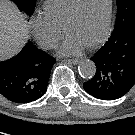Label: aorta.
I'll use <instances>...</instances> for the list:
<instances>
[{
  "instance_id": "762f6f07",
  "label": "aorta",
  "mask_w": 135,
  "mask_h": 135,
  "mask_svg": "<svg viewBox=\"0 0 135 135\" xmlns=\"http://www.w3.org/2000/svg\"><path fill=\"white\" fill-rule=\"evenodd\" d=\"M78 70L82 78L91 79L96 73V66L93 61L86 59L79 63Z\"/></svg>"
}]
</instances>
